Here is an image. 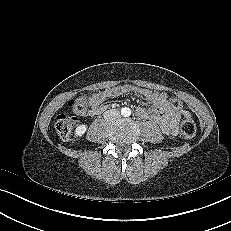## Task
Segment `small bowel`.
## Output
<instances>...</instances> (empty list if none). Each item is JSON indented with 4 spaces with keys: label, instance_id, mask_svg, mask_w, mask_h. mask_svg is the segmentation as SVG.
<instances>
[{
    "label": "small bowel",
    "instance_id": "1",
    "mask_svg": "<svg viewBox=\"0 0 231 231\" xmlns=\"http://www.w3.org/2000/svg\"><path fill=\"white\" fill-rule=\"evenodd\" d=\"M130 92L143 96L148 102L147 106H140L136 109V115L142 119L155 122L168 136H176L179 121L185 117L190 118L188 111L171 107L166 93L152 92L130 84L115 86L87 97H80L79 99L86 106L82 114L96 116L106 109V106L102 104L106 99L119 97Z\"/></svg>",
    "mask_w": 231,
    "mask_h": 231
}]
</instances>
